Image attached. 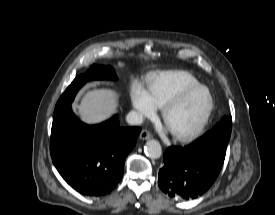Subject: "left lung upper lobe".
Segmentation results:
<instances>
[{
	"mask_svg": "<svg viewBox=\"0 0 275 215\" xmlns=\"http://www.w3.org/2000/svg\"><path fill=\"white\" fill-rule=\"evenodd\" d=\"M231 116H224L214 128L192 143L196 153L207 155L223 163L232 129Z\"/></svg>",
	"mask_w": 275,
	"mask_h": 215,
	"instance_id": "5c2ea615",
	"label": "left lung upper lobe"
}]
</instances>
